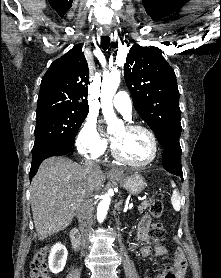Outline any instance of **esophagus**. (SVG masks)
I'll return each mask as SVG.
<instances>
[{"mask_svg":"<svg viewBox=\"0 0 221 278\" xmlns=\"http://www.w3.org/2000/svg\"><path fill=\"white\" fill-rule=\"evenodd\" d=\"M102 32H103L104 35H109L111 31H110V29H104ZM109 175L119 176V175H121V172L116 168H111L109 170Z\"/></svg>","mask_w":221,"mask_h":278,"instance_id":"esophagus-1","label":"esophagus"}]
</instances>
